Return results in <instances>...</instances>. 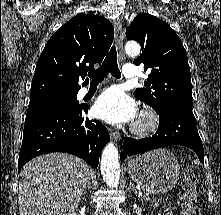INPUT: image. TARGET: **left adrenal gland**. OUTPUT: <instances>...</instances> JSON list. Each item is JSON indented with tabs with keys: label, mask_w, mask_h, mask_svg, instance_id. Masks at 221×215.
Returning a JSON list of instances; mask_svg holds the SVG:
<instances>
[{
	"label": "left adrenal gland",
	"mask_w": 221,
	"mask_h": 215,
	"mask_svg": "<svg viewBox=\"0 0 221 215\" xmlns=\"http://www.w3.org/2000/svg\"><path fill=\"white\" fill-rule=\"evenodd\" d=\"M129 190L130 189H133V190H135V193H137V191H136V189H135V186H134V184H133V182L132 181H130V184H129V188H128Z\"/></svg>",
	"instance_id": "left-adrenal-gland-1"
}]
</instances>
